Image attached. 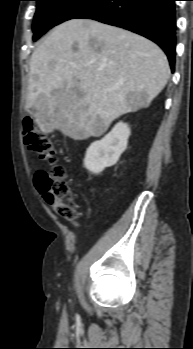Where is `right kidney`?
<instances>
[{"mask_svg": "<svg viewBox=\"0 0 193 349\" xmlns=\"http://www.w3.org/2000/svg\"><path fill=\"white\" fill-rule=\"evenodd\" d=\"M129 136L128 124L117 123L104 138L89 146L84 159L85 168L93 174H99L106 167L115 165L127 148Z\"/></svg>", "mask_w": 193, "mask_h": 349, "instance_id": "ca27d5eb", "label": "right kidney"}]
</instances>
